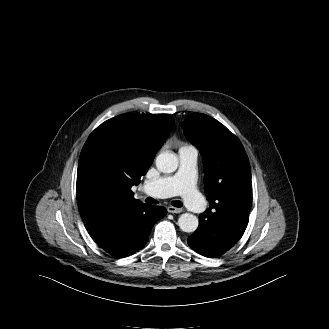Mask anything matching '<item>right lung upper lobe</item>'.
Returning a JSON list of instances; mask_svg holds the SVG:
<instances>
[{"mask_svg":"<svg viewBox=\"0 0 329 329\" xmlns=\"http://www.w3.org/2000/svg\"><path fill=\"white\" fill-rule=\"evenodd\" d=\"M169 114H122L97 127L79 158L77 192L82 214L140 204L131 191L169 136Z\"/></svg>","mask_w":329,"mask_h":329,"instance_id":"obj_1","label":"right lung upper lobe"}]
</instances>
